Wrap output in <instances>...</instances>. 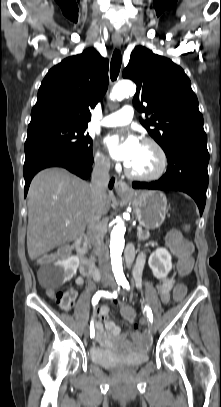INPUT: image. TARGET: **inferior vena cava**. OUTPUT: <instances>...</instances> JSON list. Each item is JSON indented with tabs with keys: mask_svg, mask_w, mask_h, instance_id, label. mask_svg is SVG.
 Instances as JSON below:
<instances>
[{
	"mask_svg": "<svg viewBox=\"0 0 221 407\" xmlns=\"http://www.w3.org/2000/svg\"><path fill=\"white\" fill-rule=\"evenodd\" d=\"M109 169L110 164L108 162L103 160L95 161L90 188L91 198L96 205L101 204L106 198V189L110 181ZM100 218L101 210L97 209L93 220L87 226V234L91 244L95 247L98 254L101 273L103 275H109L111 272L109 250L104 244V236L102 232L97 229Z\"/></svg>",
	"mask_w": 221,
	"mask_h": 407,
	"instance_id": "inferior-vena-cava-1",
	"label": "inferior vena cava"
}]
</instances>
